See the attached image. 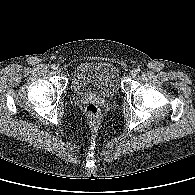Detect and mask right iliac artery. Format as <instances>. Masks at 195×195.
<instances>
[{"label": "right iliac artery", "mask_w": 195, "mask_h": 195, "mask_svg": "<svg viewBox=\"0 0 195 195\" xmlns=\"http://www.w3.org/2000/svg\"><path fill=\"white\" fill-rule=\"evenodd\" d=\"M51 68H52V69H55V68H56V66L53 64V65H51Z\"/></svg>", "instance_id": "obj_1"}]
</instances>
